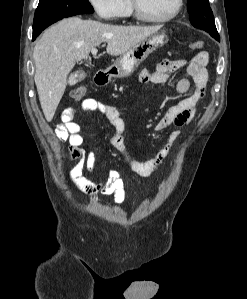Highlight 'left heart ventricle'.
Returning <instances> with one entry per match:
<instances>
[{
    "label": "left heart ventricle",
    "instance_id": "obj_1",
    "mask_svg": "<svg viewBox=\"0 0 247 299\" xmlns=\"http://www.w3.org/2000/svg\"><path fill=\"white\" fill-rule=\"evenodd\" d=\"M143 11L151 17H165L173 12L177 0H140Z\"/></svg>",
    "mask_w": 247,
    "mask_h": 299
}]
</instances>
